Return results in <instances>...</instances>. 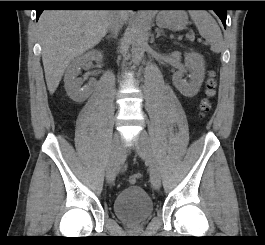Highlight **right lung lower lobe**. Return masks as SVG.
Returning <instances> with one entry per match:
<instances>
[{
    "mask_svg": "<svg viewBox=\"0 0 265 245\" xmlns=\"http://www.w3.org/2000/svg\"><path fill=\"white\" fill-rule=\"evenodd\" d=\"M52 6H79V7H134L133 4L127 1H82L78 5H71L67 3H53ZM43 9H37V20Z\"/></svg>",
    "mask_w": 265,
    "mask_h": 245,
    "instance_id": "obj_1",
    "label": "right lung lower lobe"
}]
</instances>
